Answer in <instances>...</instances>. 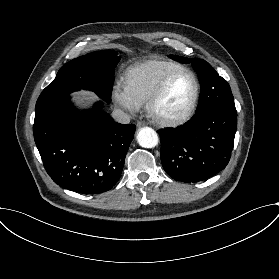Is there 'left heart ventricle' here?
<instances>
[{
  "instance_id": "b2bd125f",
  "label": "left heart ventricle",
  "mask_w": 279,
  "mask_h": 279,
  "mask_svg": "<svg viewBox=\"0 0 279 279\" xmlns=\"http://www.w3.org/2000/svg\"><path fill=\"white\" fill-rule=\"evenodd\" d=\"M194 92V82L191 75L183 73L169 85L163 98L157 106L162 116L171 118L183 112L189 104Z\"/></svg>"
}]
</instances>
